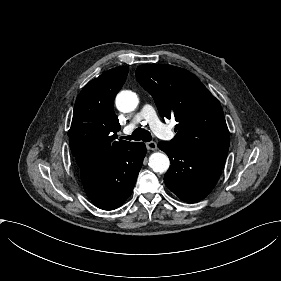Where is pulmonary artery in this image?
Instances as JSON below:
<instances>
[{
  "mask_svg": "<svg viewBox=\"0 0 281 281\" xmlns=\"http://www.w3.org/2000/svg\"><path fill=\"white\" fill-rule=\"evenodd\" d=\"M142 120H146L150 127L152 128L156 124H162L159 118L157 117L155 109L150 104H145L140 112H138L129 126L123 129L124 133L131 131L136 124L141 122Z\"/></svg>",
  "mask_w": 281,
  "mask_h": 281,
  "instance_id": "1",
  "label": "pulmonary artery"
}]
</instances>
